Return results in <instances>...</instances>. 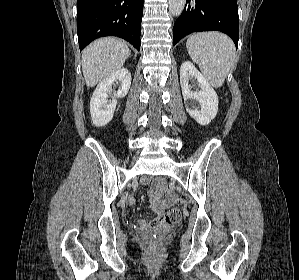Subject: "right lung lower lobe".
<instances>
[{
  "mask_svg": "<svg viewBox=\"0 0 299 280\" xmlns=\"http://www.w3.org/2000/svg\"><path fill=\"white\" fill-rule=\"evenodd\" d=\"M144 0H77L80 51L93 40L117 36L140 50Z\"/></svg>",
  "mask_w": 299,
  "mask_h": 280,
  "instance_id": "right-lung-lower-lobe-1",
  "label": "right lung lower lobe"
}]
</instances>
